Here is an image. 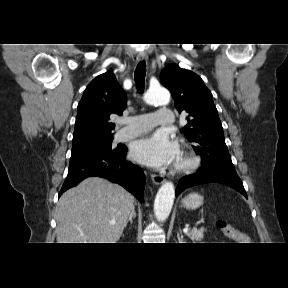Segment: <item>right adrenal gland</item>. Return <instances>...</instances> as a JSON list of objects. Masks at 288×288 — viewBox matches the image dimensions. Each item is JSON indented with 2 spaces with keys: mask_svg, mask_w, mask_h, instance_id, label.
Masks as SVG:
<instances>
[{
  "mask_svg": "<svg viewBox=\"0 0 288 288\" xmlns=\"http://www.w3.org/2000/svg\"><path fill=\"white\" fill-rule=\"evenodd\" d=\"M134 217H135V209L133 208L131 213H130L129 219L127 220V223L130 221V223L132 224L133 223L132 218H134ZM127 223H126V225H127Z\"/></svg>",
  "mask_w": 288,
  "mask_h": 288,
  "instance_id": "right-adrenal-gland-1",
  "label": "right adrenal gland"
}]
</instances>
